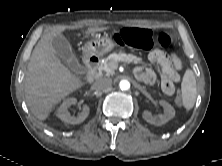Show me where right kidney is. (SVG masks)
I'll return each instance as SVG.
<instances>
[{"label": "right kidney", "instance_id": "ca27d5eb", "mask_svg": "<svg viewBox=\"0 0 222 166\" xmlns=\"http://www.w3.org/2000/svg\"><path fill=\"white\" fill-rule=\"evenodd\" d=\"M76 103V98H67L56 111V116L68 125L82 123L89 115L90 109L87 105H84L83 110L78 114L77 117L71 116L68 111V108L71 105H75Z\"/></svg>", "mask_w": 222, "mask_h": 166}]
</instances>
